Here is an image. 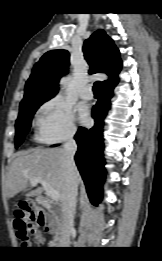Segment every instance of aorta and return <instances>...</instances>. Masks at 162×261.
Returning <instances> with one entry per match:
<instances>
[{
	"label": "aorta",
	"mask_w": 162,
	"mask_h": 261,
	"mask_svg": "<svg viewBox=\"0 0 162 261\" xmlns=\"http://www.w3.org/2000/svg\"><path fill=\"white\" fill-rule=\"evenodd\" d=\"M64 82H65V79H63V80L61 81V84H64Z\"/></svg>",
	"instance_id": "762f6f07"
}]
</instances>
